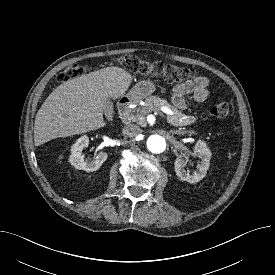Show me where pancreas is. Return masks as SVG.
I'll list each match as a JSON object with an SVG mask.
<instances>
[{"mask_svg":"<svg viewBox=\"0 0 275 275\" xmlns=\"http://www.w3.org/2000/svg\"><path fill=\"white\" fill-rule=\"evenodd\" d=\"M161 107L169 108L172 114H167V121L173 126H186L196 122V118L191 115H185L181 111L170 105L165 99L157 96L146 98L144 105L134 110V119L141 124H145V117L151 112H159Z\"/></svg>","mask_w":275,"mask_h":275,"instance_id":"pancreas-1","label":"pancreas"}]
</instances>
